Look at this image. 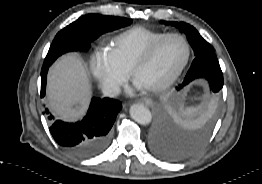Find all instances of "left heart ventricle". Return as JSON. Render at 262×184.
<instances>
[{"label": "left heart ventricle", "mask_w": 262, "mask_h": 184, "mask_svg": "<svg viewBox=\"0 0 262 184\" xmlns=\"http://www.w3.org/2000/svg\"><path fill=\"white\" fill-rule=\"evenodd\" d=\"M185 56L186 47L182 40L176 37L165 39L148 64L139 70L138 84L142 87L162 84L176 72Z\"/></svg>", "instance_id": "1"}]
</instances>
